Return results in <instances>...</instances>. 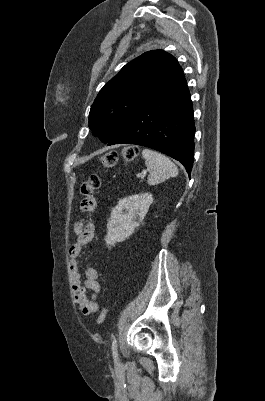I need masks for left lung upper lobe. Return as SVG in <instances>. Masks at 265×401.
<instances>
[{
    "instance_id": "left-lung-upper-lobe-1",
    "label": "left lung upper lobe",
    "mask_w": 265,
    "mask_h": 401,
    "mask_svg": "<svg viewBox=\"0 0 265 401\" xmlns=\"http://www.w3.org/2000/svg\"><path fill=\"white\" fill-rule=\"evenodd\" d=\"M182 74L175 57L162 50L135 58L100 90L90 109L89 128L108 143Z\"/></svg>"
}]
</instances>
